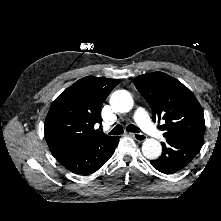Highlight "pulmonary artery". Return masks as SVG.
Returning <instances> with one entry per match:
<instances>
[{
	"instance_id": "obj_1",
	"label": "pulmonary artery",
	"mask_w": 221,
	"mask_h": 221,
	"mask_svg": "<svg viewBox=\"0 0 221 221\" xmlns=\"http://www.w3.org/2000/svg\"><path fill=\"white\" fill-rule=\"evenodd\" d=\"M134 120L138 126L149 136L160 139L162 132L151 122L148 114L143 108H138L134 114Z\"/></svg>"
}]
</instances>
